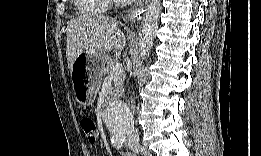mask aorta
I'll return each instance as SVG.
<instances>
[{
    "mask_svg": "<svg viewBox=\"0 0 261 156\" xmlns=\"http://www.w3.org/2000/svg\"><path fill=\"white\" fill-rule=\"evenodd\" d=\"M160 0L149 2L139 34L138 49L142 59L149 56L159 24ZM105 123L113 137L124 139L133 130L134 120L129 107L122 101L109 104L105 113Z\"/></svg>",
    "mask_w": 261,
    "mask_h": 156,
    "instance_id": "aorta-1",
    "label": "aorta"
}]
</instances>
